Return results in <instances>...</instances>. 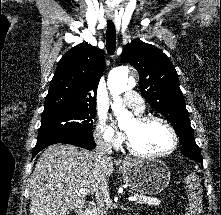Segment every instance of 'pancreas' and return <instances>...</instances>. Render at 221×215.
Instances as JSON below:
<instances>
[{"instance_id":"pancreas-1","label":"pancreas","mask_w":221,"mask_h":215,"mask_svg":"<svg viewBox=\"0 0 221 215\" xmlns=\"http://www.w3.org/2000/svg\"><path fill=\"white\" fill-rule=\"evenodd\" d=\"M138 204H145L148 206H159L161 201L157 198L147 197V196H140L137 200Z\"/></svg>"}]
</instances>
